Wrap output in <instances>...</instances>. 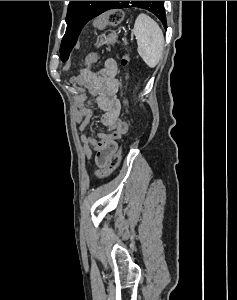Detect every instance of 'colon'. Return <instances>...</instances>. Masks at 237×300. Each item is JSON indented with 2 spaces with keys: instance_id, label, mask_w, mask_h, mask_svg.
<instances>
[{
  "instance_id": "colon-1",
  "label": "colon",
  "mask_w": 237,
  "mask_h": 300,
  "mask_svg": "<svg viewBox=\"0 0 237 300\" xmlns=\"http://www.w3.org/2000/svg\"><path fill=\"white\" fill-rule=\"evenodd\" d=\"M124 18V13L120 9H112L104 12L100 16H98L94 21V26L98 29L107 27V26H117L119 25ZM98 60L97 54L88 55L84 61V66H91L95 64ZM129 63V59L127 56L122 57L121 64L123 66H127ZM75 82V78L73 79ZM122 147H120L116 152L111 154L107 163L97 172L94 173L95 178H104L108 176L118 165L121 159Z\"/></svg>"
}]
</instances>
